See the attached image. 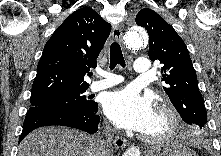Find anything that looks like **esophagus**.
<instances>
[{
  "instance_id": "34e87169",
  "label": "esophagus",
  "mask_w": 221,
  "mask_h": 156,
  "mask_svg": "<svg viewBox=\"0 0 221 156\" xmlns=\"http://www.w3.org/2000/svg\"><path fill=\"white\" fill-rule=\"evenodd\" d=\"M111 37L117 41H122V29L119 26H113L111 31ZM114 145L117 149H124L128 145V141L122 137H115Z\"/></svg>"
}]
</instances>
